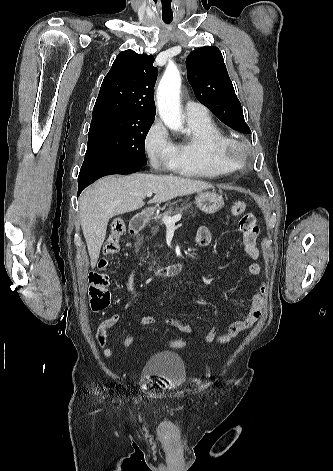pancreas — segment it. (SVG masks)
Returning <instances> with one entry per match:
<instances>
[{
    "instance_id": "cf45deb5",
    "label": "pancreas",
    "mask_w": 333,
    "mask_h": 471,
    "mask_svg": "<svg viewBox=\"0 0 333 471\" xmlns=\"http://www.w3.org/2000/svg\"><path fill=\"white\" fill-rule=\"evenodd\" d=\"M187 210H190L192 216H194V215L196 214V212L193 211L192 204H191V203H185V204L183 205V207H177V208H175V209L169 208V209L163 214V216H171L172 214H175V213H180V214H182L184 211H187ZM158 219H159V218H158ZM155 222L158 223V225H156V226H151V225H149V226L151 227V237L148 238V241H149L151 238H153V237L159 232V228H160V226L163 224V221L159 222V221L156 220ZM137 242H138V243H142V242H143V236H142V237H137ZM152 263H153V264L156 263L155 258H154V260H153Z\"/></svg>"
}]
</instances>
